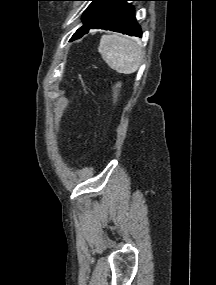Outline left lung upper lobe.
<instances>
[{
  "label": "left lung upper lobe",
  "mask_w": 216,
  "mask_h": 285,
  "mask_svg": "<svg viewBox=\"0 0 216 285\" xmlns=\"http://www.w3.org/2000/svg\"><path fill=\"white\" fill-rule=\"evenodd\" d=\"M92 3L83 14L82 27L77 31H83L88 28L103 12L115 4L118 0H87Z\"/></svg>",
  "instance_id": "1"
}]
</instances>
